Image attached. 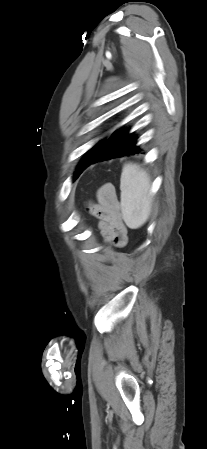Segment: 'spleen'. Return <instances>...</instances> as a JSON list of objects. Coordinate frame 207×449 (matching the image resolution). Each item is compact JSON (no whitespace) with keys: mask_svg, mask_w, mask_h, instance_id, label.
I'll use <instances>...</instances> for the list:
<instances>
[{"mask_svg":"<svg viewBox=\"0 0 207 449\" xmlns=\"http://www.w3.org/2000/svg\"><path fill=\"white\" fill-rule=\"evenodd\" d=\"M150 177L139 165L123 166L120 190L123 220L129 228L137 229L147 222L151 214Z\"/></svg>","mask_w":207,"mask_h":449,"instance_id":"1","label":"spleen"}]
</instances>
